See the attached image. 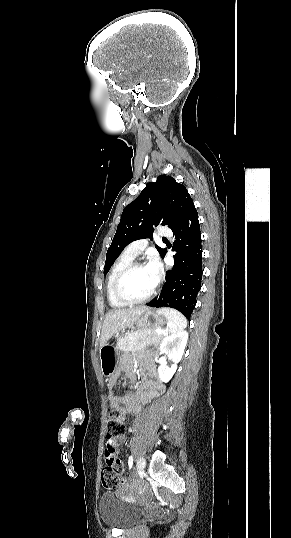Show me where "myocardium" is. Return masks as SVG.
<instances>
[{
	"instance_id": "obj_1",
	"label": "myocardium",
	"mask_w": 291,
	"mask_h": 538,
	"mask_svg": "<svg viewBox=\"0 0 291 538\" xmlns=\"http://www.w3.org/2000/svg\"><path fill=\"white\" fill-rule=\"evenodd\" d=\"M142 267H146L145 264L141 263V262H138V261H133L131 262L127 267H125L119 274L118 276L116 277L115 279V282H114V294L116 296V298L122 302V303H125L127 305H131V304H139V303H143V302H146L148 301L149 299H151L154 294L156 293L157 289H158V285H159V280L156 281L154 287L152 288V290L147 294L145 295L144 297H141V298H131L129 297L123 290V284H124V281L125 279L133 272L135 271L136 269L138 268H142Z\"/></svg>"
}]
</instances>
